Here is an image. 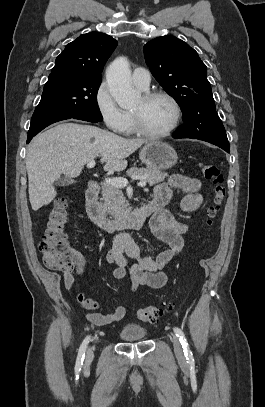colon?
Listing matches in <instances>:
<instances>
[{
  "mask_svg": "<svg viewBox=\"0 0 265 407\" xmlns=\"http://www.w3.org/2000/svg\"><path fill=\"white\" fill-rule=\"evenodd\" d=\"M201 171L213 185L212 203L207 209V227H211L226 196L224 178L219 168L211 162H202ZM69 201L58 198L48 213L46 229L40 243L44 265L53 270L69 271L75 262V254L69 245L65 225L69 217ZM137 316L144 322L154 323L163 316V310L155 306L139 309Z\"/></svg>",
  "mask_w": 265,
  "mask_h": 407,
  "instance_id": "5ec220e1",
  "label": "colon"
}]
</instances>
